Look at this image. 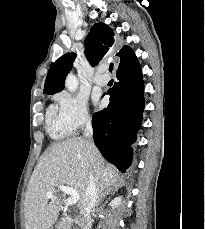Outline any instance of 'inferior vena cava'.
I'll return each mask as SVG.
<instances>
[{"label":"inferior vena cava","instance_id":"obj_1","mask_svg":"<svg viewBox=\"0 0 205 229\" xmlns=\"http://www.w3.org/2000/svg\"><path fill=\"white\" fill-rule=\"evenodd\" d=\"M84 134L88 138H91L93 136V128H92V123L90 118L87 119ZM97 191L98 190L96 187L94 176L92 172H90L86 191L80 205V214L82 215L81 229L90 228V212L94 209L97 203V199H98Z\"/></svg>","mask_w":205,"mask_h":229}]
</instances>
